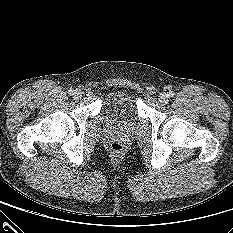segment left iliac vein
I'll return each instance as SVG.
<instances>
[{
    "mask_svg": "<svg viewBox=\"0 0 233 233\" xmlns=\"http://www.w3.org/2000/svg\"><path fill=\"white\" fill-rule=\"evenodd\" d=\"M159 101H160V103L165 105L169 101V96L166 93H161L159 96Z\"/></svg>",
    "mask_w": 233,
    "mask_h": 233,
    "instance_id": "obj_1",
    "label": "left iliac vein"
}]
</instances>
